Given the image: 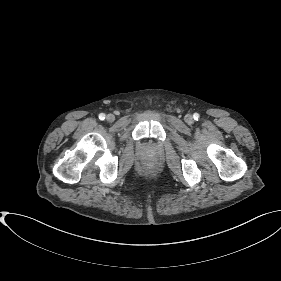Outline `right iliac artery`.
<instances>
[{
    "mask_svg": "<svg viewBox=\"0 0 281 281\" xmlns=\"http://www.w3.org/2000/svg\"><path fill=\"white\" fill-rule=\"evenodd\" d=\"M99 119L104 120V119H105V114H104V113H101V114L99 115Z\"/></svg>",
    "mask_w": 281,
    "mask_h": 281,
    "instance_id": "1",
    "label": "right iliac artery"
}]
</instances>
